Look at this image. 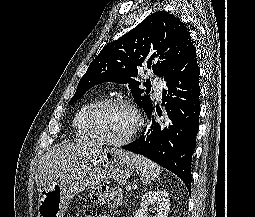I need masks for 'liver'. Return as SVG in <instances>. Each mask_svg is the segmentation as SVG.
I'll use <instances>...</instances> for the list:
<instances>
[{"mask_svg":"<svg viewBox=\"0 0 255 217\" xmlns=\"http://www.w3.org/2000/svg\"><path fill=\"white\" fill-rule=\"evenodd\" d=\"M103 151L101 144L95 142H69L50 148L38 163L36 184L45 187L78 168Z\"/></svg>","mask_w":255,"mask_h":217,"instance_id":"obj_1","label":"liver"}]
</instances>
